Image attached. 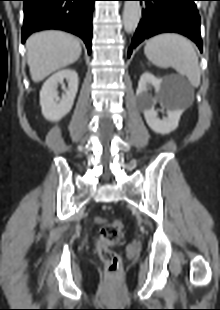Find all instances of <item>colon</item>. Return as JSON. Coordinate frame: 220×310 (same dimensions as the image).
Masks as SVG:
<instances>
[{
    "label": "colon",
    "instance_id": "colon-1",
    "mask_svg": "<svg viewBox=\"0 0 220 310\" xmlns=\"http://www.w3.org/2000/svg\"><path fill=\"white\" fill-rule=\"evenodd\" d=\"M123 229V223L120 220H113L105 223L100 228L99 239L96 249L99 257L106 265V272L110 276L118 275L121 271V258L117 252L113 250L120 239Z\"/></svg>",
    "mask_w": 220,
    "mask_h": 310
}]
</instances>
